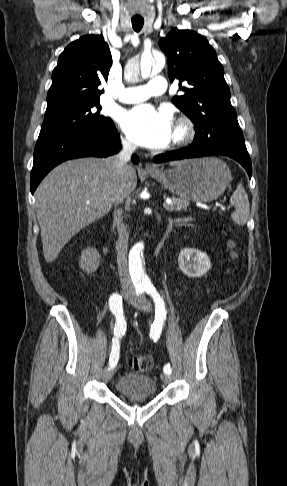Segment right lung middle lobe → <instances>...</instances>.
<instances>
[{
  "label": "right lung middle lobe",
  "mask_w": 287,
  "mask_h": 486,
  "mask_svg": "<svg viewBox=\"0 0 287 486\" xmlns=\"http://www.w3.org/2000/svg\"><path fill=\"white\" fill-rule=\"evenodd\" d=\"M99 99L71 101L47 107L38 140L68 135H89L112 120L100 115Z\"/></svg>",
  "instance_id": "obj_1"
}]
</instances>
